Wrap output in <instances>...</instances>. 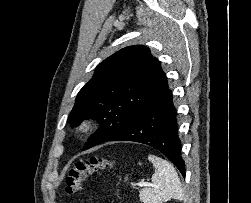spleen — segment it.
Instances as JSON below:
<instances>
[{"mask_svg": "<svg viewBox=\"0 0 251 203\" xmlns=\"http://www.w3.org/2000/svg\"><path fill=\"white\" fill-rule=\"evenodd\" d=\"M155 167L152 175L153 188H144L139 197L143 203H163L170 199L183 200L184 192L175 168L166 160L149 155Z\"/></svg>", "mask_w": 251, "mask_h": 203, "instance_id": "3e777b00", "label": "spleen"}]
</instances>
